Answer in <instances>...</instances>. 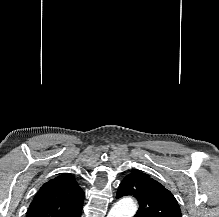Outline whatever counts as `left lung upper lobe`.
<instances>
[{
	"instance_id": "left-lung-upper-lobe-1",
	"label": "left lung upper lobe",
	"mask_w": 219,
	"mask_h": 217,
	"mask_svg": "<svg viewBox=\"0 0 219 217\" xmlns=\"http://www.w3.org/2000/svg\"><path fill=\"white\" fill-rule=\"evenodd\" d=\"M133 195L139 202L134 217H182L173 194L146 173L128 174L118 188L116 198Z\"/></svg>"
}]
</instances>
